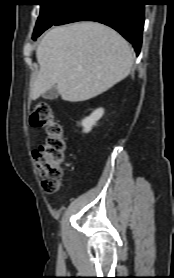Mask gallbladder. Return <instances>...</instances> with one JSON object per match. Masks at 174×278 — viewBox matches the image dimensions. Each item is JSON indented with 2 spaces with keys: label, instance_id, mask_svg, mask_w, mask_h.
I'll return each instance as SVG.
<instances>
[{
  "label": "gallbladder",
  "instance_id": "bac80fb5",
  "mask_svg": "<svg viewBox=\"0 0 174 278\" xmlns=\"http://www.w3.org/2000/svg\"><path fill=\"white\" fill-rule=\"evenodd\" d=\"M59 93L56 87H52L43 93L42 97L47 100H54L58 97Z\"/></svg>",
  "mask_w": 174,
  "mask_h": 278
}]
</instances>
